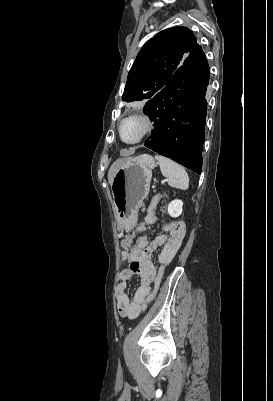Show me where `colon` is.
Masks as SVG:
<instances>
[{"mask_svg": "<svg viewBox=\"0 0 273 401\" xmlns=\"http://www.w3.org/2000/svg\"><path fill=\"white\" fill-rule=\"evenodd\" d=\"M174 239L175 240H180L181 239V234L180 233H175L174 234ZM141 279L143 282H150L152 279V276L150 273H143L141 276Z\"/></svg>", "mask_w": 273, "mask_h": 401, "instance_id": "5ec220e1", "label": "colon"}]
</instances>
